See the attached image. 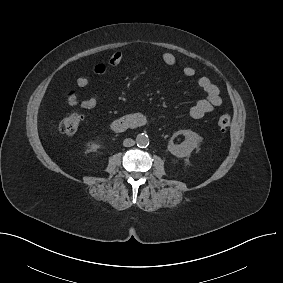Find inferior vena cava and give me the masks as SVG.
Instances as JSON below:
<instances>
[{"label":"inferior vena cava","mask_w":283,"mask_h":283,"mask_svg":"<svg viewBox=\"0 0 283 283\" xmlns=\"http://www.w3.org/2000/svg\"><path fill=\"white\" fill-rule=\"evenodd\" d=\"M134 144H135V141L131 138H126L123 141V146H125V147H131V146H134Z\"/></svg>","instance_id":"inferior-vena-cava-1"}]
</instances>
